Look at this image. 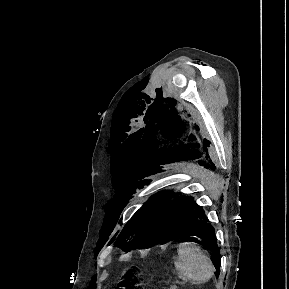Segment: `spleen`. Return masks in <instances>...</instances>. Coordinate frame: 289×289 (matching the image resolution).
Masks as SVG:
<instances>
[{
    "instance_id": "3e777b00",
    "label": "spleen",
    "mask_w": 289,
    "mask_h": 289,
    "mask_svg": "<svg viewBox=\"0 0 289 289\" xmlns=\"http://www.w3.org/2000/svg\"><path fill=\"white\" fill-rule=\"evenodd\" d=\"M179 277L193 284H204L214 275V266L201 248L188 243L178 245V257L174 262Z\"/></svg>"
}]
</instances>
